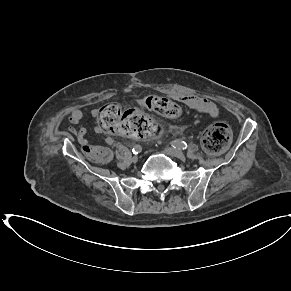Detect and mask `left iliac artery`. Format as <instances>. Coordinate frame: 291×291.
Segmentation results:
<instances>
[{"label": "left iliac artery", "instance_id": "1", "mask_svg": "<svg viewBox=\"0 0 291 291\" xmlns=\"http://www.w3.org/2000/svg\"><path fill=\"white\" fill-rule=\"evenodd\" d=\"M171 145L174 148L183 149V150L187 149L188 147L187 143L181 140L172 141Z\"/></svg>", "mask_w": 291, "mask_h": 291}]
</instances>
